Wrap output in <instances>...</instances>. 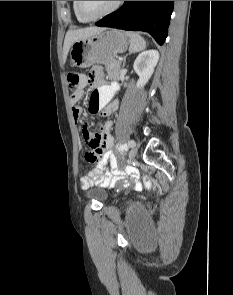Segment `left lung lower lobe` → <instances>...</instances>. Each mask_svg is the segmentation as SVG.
Segmentation results:
<instances>
[{
	"instance_id": "1",
	"label": "left lung lower lobe",
	"mask_w": 233,
	"mask_h": 295,
	"mask_svg": "<svg viewBox=\"0 0 233 295\" xmlns=\"http://www.w3.org/2000/svg\"><path fill=\"white\" fill-rule=\"evenodd\" d=\"M174 1H125L117 11L96 23L131 31L148 32L158 44L167 37Z\"/></svg>"
}]
</instances>
